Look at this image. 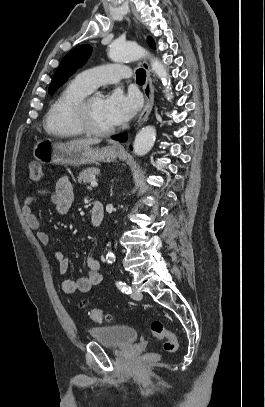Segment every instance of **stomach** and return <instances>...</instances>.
Here are the masks:
<instances>
[{
	"label": "stomach",
	"instance_id": "1",
	"mask_svg": "<svg viewBox=\"0 0 265 407\" xmlns=\"http://www.w3.org/2000/svg\"><path fill=\"white\" fill-rule=\"evenodd\" d=\"M119 153L110 147L93 148L91 146L56 143L50 140L37 141L33 148V157L43 164L84 165L96 161L112 162Z\"/></svg>",
	"mask_w": 265,
	"mask_h": 407
}]
</instances>
